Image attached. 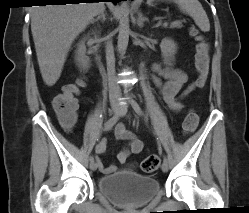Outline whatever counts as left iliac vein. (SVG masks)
Instances as JSON below:
<instances>
[{
  "instance_id": "4c4485c4",
  "label": "left iliac vein",
  "mask_w": 249,
  "mask_h": 213,
  "mask_svg": "<svg viewBox=\"0 0 249 213\" xmlns=\"http://www.w3.org/2000/svg\"><path fill=\"white\" fill-rule=\"evenodd\" d=\"M122 108V107H121ZM161 169L163 172H167L168 169H169V165H168V162H163L162 166H161Z\"/></svg>"
}]
</instances>
